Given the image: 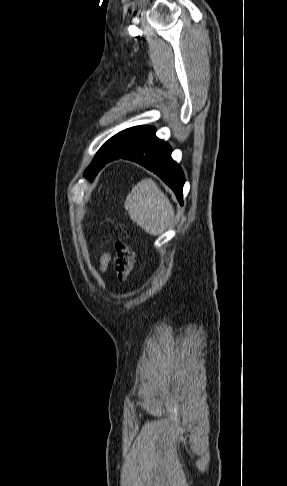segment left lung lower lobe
<instances>
[{
  "instance_id": "obj_1",
  "label": "left lung lower lobe",
  "mask_w": 287,
  "mask_h": 486,
  "mask_svg": "<svg viewBox=\"0 0 287 486\" xmlns=\"http://www.w3.org/2000/svg\"><path fill=\"white\" fill-rule=\"evenodd\" d=\"M171 152V147L153 134L141 148L122 156H115L105 161L101 168L119 158L137 162L157 174L175 192L182 204L184 175L181 168L172 160Z\"/></svg>"
}]
</instances>
